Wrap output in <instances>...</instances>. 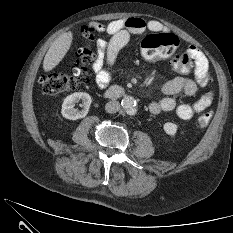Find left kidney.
<instances>
[{
    "mask_svg": "<svg viewBox=\"0 0 233 233\" xmlns=\"http://www.w3.org/2000/svg\"><path fill=\"white\" fill-rule=\"evenodd\" d=\"M177 125L171 122H166L163 126L164 131L166 134L170 135L171 137H174L177 133Z\"/></svg>",
    "mask_w": 233,
    "mask_h": 233,
    "instance_id": "obj_1",
    "label": "left kidney"
}]
</instances>
